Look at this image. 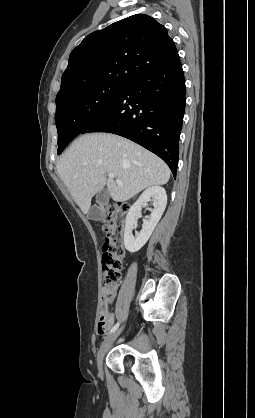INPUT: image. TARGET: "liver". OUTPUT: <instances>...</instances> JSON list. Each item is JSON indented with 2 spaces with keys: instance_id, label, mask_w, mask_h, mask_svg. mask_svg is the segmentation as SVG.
<instances>
[{
  "instance_id": "6515ba94",
  "label": "liver",
  "mask_w": 255,
  "mask_h": 418,
  "mask_svg": "<svg viewBox=\"0 0 255 418\" xmlns=\"http://www.w3.org/2000/svg\"><path fill=\"white\" fill-rule=\"evenodd\" d=\"M60 179L84 214L105 185L114 201L124 202L169 181L170 169L155 154L118 135L90 133L76 139L57 163ZM113 173L122 182L118 185Z\"/></svg>"
}]
</instances>
